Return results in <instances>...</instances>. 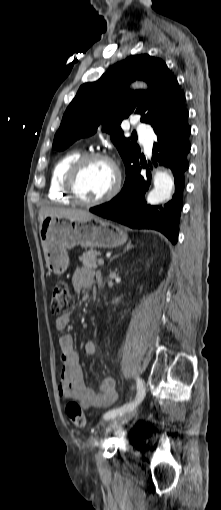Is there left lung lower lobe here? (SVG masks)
<instances>
[{
  "mask_svg": "<svg viewBox=\"0 0 221 510\" xmlns=\"http://www.w3.org/2000/svg\"><path fill=\"white\" fill-rule=\"evenodd\" d=\"M187 117L188 115L154 130L157 140L153 146L152 164L163 165L171 170L175 182V194L171 201L163 206L147 205L144 194L151 183V176L141 158L126 172L121 192L110 202L91 208L90 212L131 228L160 231L175 244L183 202L184 174L189 167L187 154L191 148V128ZM149 165L151 166V162ZM141 167L146 168L147 176L140 174Z\"/></svg>",
  "mask_w": 221,
  "mask_h": 510,
  "instance_id": "1",
  "label": "left lung lower lobe"
}]
</instances>
